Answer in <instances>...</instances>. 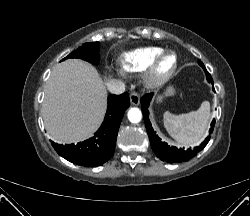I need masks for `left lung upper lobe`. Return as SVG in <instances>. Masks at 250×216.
I'll return each instance as SVG.
<instances>
[{
  "label": "left lung upper lobe",
  "instance_id": "5c2ea615",
  "mask_svg": "<svg viewBox=\"0 0 250 216\" xmlns=\"http://www.w3.org/2000/svg\"><path fill=\"white\" fill-rule=\"evenodd\" d=\"M201 67H203V63L201 61L198 62Z\"/></svg>",
  "mask_w": 250,
  "mask_h": 216
}]
</instances>
